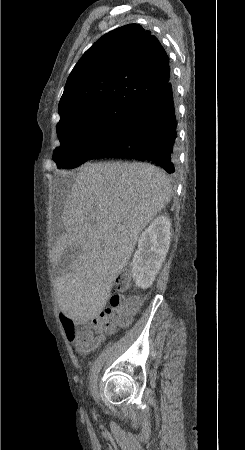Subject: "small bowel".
I'll use <instances>...</instances> for the list:
<instances>
[{"label": "small bowel", "mask_w": 245, "mask_h": 450, "mask_svg": "<svg viewBox=\"0 0 245 450\" xmlns=\"http://www.w3.org/2000/svg\"><path fill=\"white\" fill-rule=\"evenodd\" d=\"M80 287L79 283L74 281L72 283V287L70 290V293L68 295L67 298L62 299L59 302V311H60V316H69L74 320L77 321H81L84 320L81 317H78L73 310V307L70 305V301L72 300L73 297V293ZM70 341L73 343L74 347L76 348V350L81 353V354H88L91 351H93L94 349H96L101 343L104 342L105 340V336L103 334H98L94 337L91 338V340L87 341V342H82L79 341L76 337H72L69 338Z\"/></svg>", "instance_id": "c3829d8e"}]
</instances>
